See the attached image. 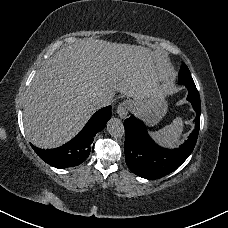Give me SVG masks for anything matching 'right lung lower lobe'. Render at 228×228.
I'll use <instances>...</instances> for the list:
<instances>
[{"instance_id": "98d812e1", "label": "right lung lower lobe", "mask_w": 228, "mask_h": 228, "mask_svg": "<svg viewBox=\"0 0 228 228\" xmlns=\"http://www.w3.org/2000/svg\"><path fill=\"white\" fill-rule=\"evenodd\" d=\"M111 118V106L97 111L87 122L82 131L65 145L55 149H39L32 146L38 156L56 168L74 167L81 164L93 148L92 142L97 132L101 131Z\"/></svg>"}]
</instances>
